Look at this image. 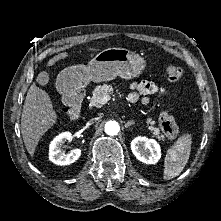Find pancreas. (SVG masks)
<instances>
[{
    "label": "pancreas",
    "mask_w": 221,
    "mask_h": 221,
    "mask_svg": "<svg viewBox=\"0 0 221 221\" xmlns=\"http://www.w3.org/2000/svg\"><path fill=\"white\" fill-rule=\"evenodd\" d=\"M113 92H114V88L112 85L103 84V85L97 86L94 89V91L92 92V97L90 99V105L95 106L97 108L102 107L103 104L101 103L100 100L103 97V95L113 94ZM146 124L148 125L147 126L148 130H150L152 132V134L154 136H156V138L158 140H164V136L162 134H160V130L158 128L154 127L155 121H153L151 117H149L146 120Z\"/></svg>",
    "instance_id": "obj_1"
}]
</instances>
